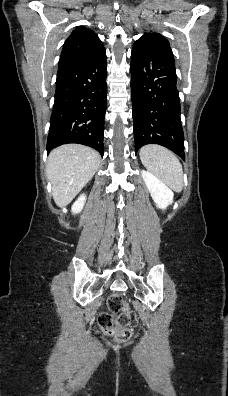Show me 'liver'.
Returning <instances> with one entry per match:
<instances>
[{"instance_id":"6515ba94","label":"liver","mask_w":228,"mask_h":396,"mask_svg":"<svg viewBox=\"0 0 228 396\" xmlns=\"http://www.w3.org/2000/svg\"><path fill=\"white\" fill-rule=\"evenodd\" d=\"M100 161L97 151L80 144H66L49 154L46 175L57 206L65 207L75 198L92 179Z\"/></svg>"}]
</instances>
